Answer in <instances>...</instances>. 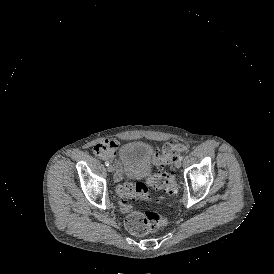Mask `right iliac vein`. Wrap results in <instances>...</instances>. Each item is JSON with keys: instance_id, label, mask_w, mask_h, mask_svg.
Masks as SVG:
<instances>
[{"instance_id": "1", "label": "right iliac vein", "mask_w": 274, "mask_h": 274, "mask_svg": "<svg viewBox=\"0 0 274 274\" xmlns=\"http://www.w3.org/2000/svg\"><path fill=\"white\" fill-rule=\"evenodd\" d=\"M107 170H108V172H113L114 171V167L112 165H109L107 167Z\"/></svg>"}]
</instances>
